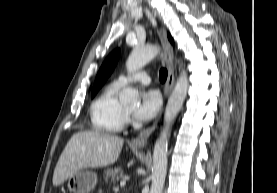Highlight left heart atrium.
Segmentation results:
<instances>
[{
	"label": "left heart atrium",
	"instance_id": "left-heart-atrium-1",
	"mask_svg": "<svg viewBox=\"0 0 277 193\" xmlns=\"http://www.w3.org/2000/svg\"><path fill=\"white\" fill-rule=\"evenodd\" d=\"M160 107V94L155 90H146L140 95V101L134 115L140 121H149L157 115Z\"/></svg>",
	"mask_w": 277,
	"mask_h": 193
}]
</instances>
